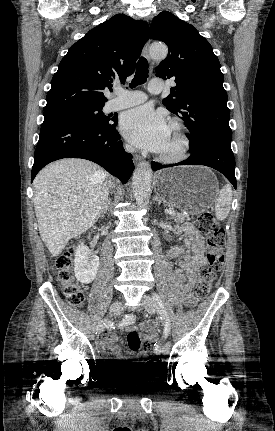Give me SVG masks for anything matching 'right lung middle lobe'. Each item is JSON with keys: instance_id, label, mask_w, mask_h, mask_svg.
I'll list each match as a JSON object with an SVG mask.
<instances>
[{"instance_id": "dd1d6c3e", "label": "right lung middle lobe", "mask_w": 275, "mask_h": 431, "mask_svg": "<svg viewBox=\"0 0 275 431\" xmlns=\"http://www.w3.org/2000/svg\"><path fill=\"white\" fill-rule=\"evenodd\" d=\"M103 106L104 105L90 107H74L52 111L44 113V120L50 118H73L92 125H104L110 122L112 118H110L109 116H105L102 113Z\"/></svg>"}]
</instances>
